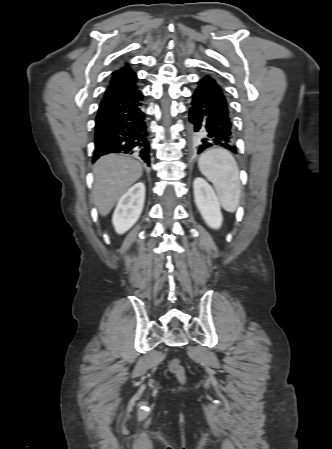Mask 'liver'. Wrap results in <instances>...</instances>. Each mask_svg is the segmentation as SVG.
Listing matches in <instances>:
<instances>
[{
  "instance_id": "liver-1",
  "label": "liver",
  "mask_w": 332,
  "mask_h": 449,
  "mask_svg": "<svg viewBox=\"0 0 332 449\" xmlns=\"http://www.w3.org/2000/svg\"><path fill=\"white\" fill-rule=\"evenodd\" d=\"M93 202L102 216L110 213L118 199L142 176L141 164L117 154L102 156L93 167Z\"/></svg>"
}]
</instances>
